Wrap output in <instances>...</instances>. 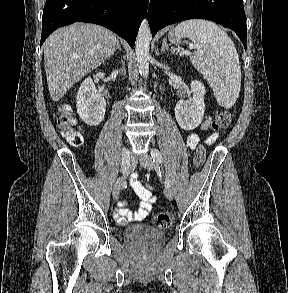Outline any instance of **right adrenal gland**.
<instances>
[{
    "label": "right adrenal gland",
    "mask_w": 288,
    "mask_h": 293,
    "mask_svg": "<svg viewBox=\"0 0 288 293\" xmlns=\"http://www.w3.org/2000/svg\"><path fill=\"white\" fill-rule=\"evenodd\" d=\"M117 49H118L119 51H121V50H122V49H121V47H120L119 41H117V44H116V49H115V51H116Z\"/></svg>",
    "instance_id": "obj_1"
}]
</instances>
